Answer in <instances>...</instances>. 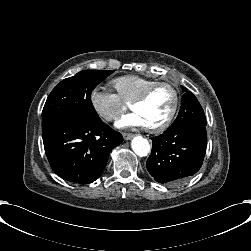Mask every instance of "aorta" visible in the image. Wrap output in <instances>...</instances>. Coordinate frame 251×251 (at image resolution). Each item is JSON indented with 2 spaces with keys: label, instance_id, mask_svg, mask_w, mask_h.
Here are the masks:
<instances>
[{
  "label": "aorta",
  "instance_id": "aorta-1",
  "mask_svg": "<svg viewBox=\"0 0 251 251\" xmlns=\"http://www.w3.org/2000/svg\"><path fill=\"white\" fill-rule=\"evenodd\" d=\"M131 147L136 155L140 157L147 156L150 151V144L147 139L142 136H136L131 141Z\"/></svg>",
  "mask_w": 251,
  "mask_h": 251
}]
</instances>
